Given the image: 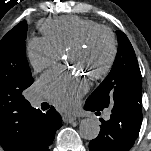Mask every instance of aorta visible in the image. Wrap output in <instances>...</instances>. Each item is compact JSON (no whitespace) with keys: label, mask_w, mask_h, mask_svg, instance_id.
Instances as JSON below:
<instances>
[{"label":"aorta","mask_w":151,"mask_h":151,"mask_svg":"<svg viewBox=\"0 0 151 151\" xmlns=\"http://www.w3.org/2000/svg\"><path fill=\"white\" fill-rule=\"evenodd\" d=\"M80 136L86 140L97 138L100 132V126L96 119H83L79 126Z\"/></svg>","instance_id":"obj_1"}]
</instances>
